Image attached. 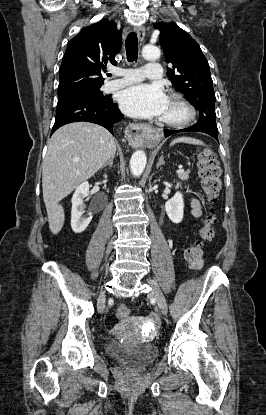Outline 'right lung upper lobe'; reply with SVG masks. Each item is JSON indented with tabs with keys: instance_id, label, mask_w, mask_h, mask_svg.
<instances>
[{
	"instance_id": "obj_1",
	"label": "right lung upper lobe",
	"mask_w": 266,
	"mask_h": 415,
	"mask_svg": "<svg viewBox=\"0 0 266 415\" xmlns=\"http://www.w3.org/2000/svg\"><path fill=\"white\" fill-rule=\"evenodd\" d=\"M122 45L117 24L107 19L82 29L68 44L60 71L58 94L101 87L107 64L116 65Z\"/></svg>"
}]
</instances>
